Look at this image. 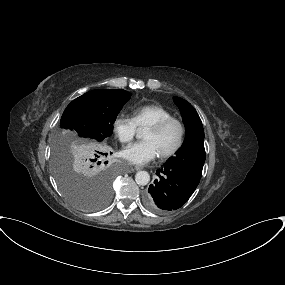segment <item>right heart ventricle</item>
<instances>
[{
    "mask_svg": "<svg viewBox=\"0 0 285 285\" xmlns=\"http://www.w3.org/2000/svg\"><path fill=\"white\" fill-rule=\"evenodd\" d=\"M169 117H172V114L157 104L143 105L133 111V119L138 128H147Z\"/></svg>",
    "mask_w": 285,
    "mask_h": 285,
    "instance_id": "obj_1",
    "label": "right heart ventricle"
}]
</instances>
